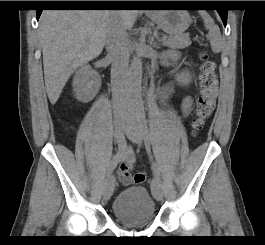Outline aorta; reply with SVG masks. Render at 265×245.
Here are the masks:
<instances>
[{
  "label": "aorta",
  "mask_w": 265,
  "mask_h": 245,
  "mask_svg": "<svg viewBox=\"0 0 265 245\" xmlns=\"http://www.w3.org/2000/svg\"><path fill=\"white\" fill-rule=\"evenodd\" d=\"M142 85V60L140 56H134L129 68L128 91L133 101L141 99Z\"/></svg>",
  "instance_id": "762f6f07"
}]
</instances>
